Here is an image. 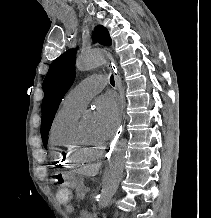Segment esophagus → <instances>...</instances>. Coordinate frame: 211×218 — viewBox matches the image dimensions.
Masks as SVG:
<instances>
[{
    "instance_id": "1",
    "label": "esophagus",
    "mask_w": 211,
    "mask_h": 218,
    "mask_svg": "<svg viewBox=\"0 0 211 218\" xmlns=\"http://www.w3.org/2000/svg\"><path fill=\"white\" fill-rule=\"evenodd\" d=\"M108 67L109 69L112 71L113 75H114V78H115V84H116V87L118 89V92H119V96H120V104H121V107H120V110H119V113H120V116L121 117H127V112L126 110L124 109V106H125V97H124V90H123V87L120 83V79L119 77H121V72H116V70L113 68L112 64L111 63H108ZM120 122L121 123H118V131H125V123L127 122V119L126 118H121L120 119ZM120 132H113V136L111 138V144H118V138L117 137H120ZM115 152V145H108V148L106 149V152L103 153V156H104V163H107V160H111L112 159V153Z\"/></svg>"
}]
</instances>
